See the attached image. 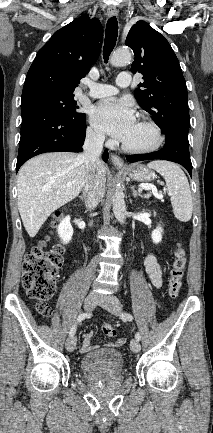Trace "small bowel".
<instances>
[{"mask_svg": "<svg viewBox=\"0 0 213 433\" xmlns=\"http://www.w3.org/2000/svg\"><path fill=\"white\" fill-rule=\"evenodd\" d=\"M144 267L150 279L151 284L156 289L161 288L163 285V272H162L161 265L157 260L156 256L153 254H148L144 259ZM91 338H92V334L90 332L84 334V340L81 347L82 353H86L93 348L91 344ZM124 342H125L124 338H118L115 341L108 343V346L117 347L124 344Z\"/></svg>", "mask_w": 213, "mask_h": 433, "instance_id": "small-bowel-1", "label": "small bowel"}]
</instances>
